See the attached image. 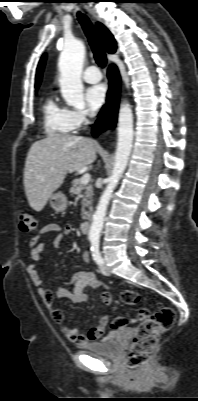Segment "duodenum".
I'll return each mask as SVG.
<instances>
[{"mask_svg": "<svg viewBox=\"0 0 198 401\" xmlns=\"http://www.w3.org/2000/svg\"><path fill=\"white\" fill-rule=\"evenodd\" d=\"M89 227H90L89 220L83 221L80 224V230H81L82 233H87L89 231Z\"/></svg>", "mask_w": 198, "mask_h": 401, "instance_id": "obj_1", "label": "duodenum"}]
</instances>
